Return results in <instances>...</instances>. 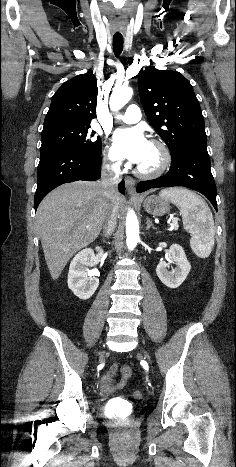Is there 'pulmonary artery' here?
Returning <instances> with one entry per match:
<instances>
[{"label": "pulmonary artery", "mask_w": 236, "mask_h": 467, "mask_svg": "<svg viewBox=\"0 0 236 467\" xmlns=\"http://www.w3.org/2000/svg\"><path fill=\"white\" fill-rule=\"evenodd\" d=\"M141 118V111L135 104L129 105L124 113L116 115V120L123 121L125 123H136Z\"/></svg>", "instance_id": "pulmonary-artery-1"}]
</instances>
